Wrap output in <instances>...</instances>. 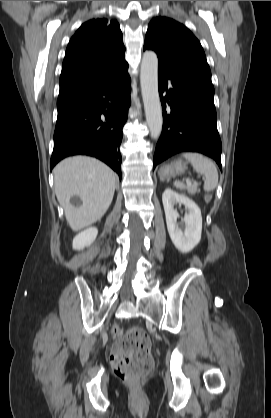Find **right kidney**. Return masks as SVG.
Returning <instances> with one entry per match:
<instances>
[{
  "mask_svg": "<svg viewBox=\"0 0 271 418\" xmlns=\"http://www.w3.org/2000/svg\"><path fill=\"white\" fill-rule=\"evenodd\" d=\"M98 229L96 227H89L84 231L80 232L73 239V249L83 250L85 247L90 246L96 239Z\"/></svg>",
  "mask_w": 271,
  "mask_h": 418,
  "instance_id": "right-kidney-1",
  "label": "right kidney"
}]
</instances>
